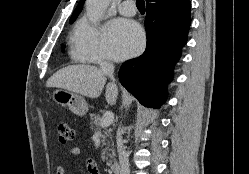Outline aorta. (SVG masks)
Masks as SVG:
<instances>
[{
  "label": "aorta",
  "instance_id": "1",
  "mask_svg": "<svg viewBox=\"0 0 249 174\" xmlns=\"http://www.w3.org/2000/svg\"><path fill=\"white\" fill-rule=\"evenodd\" d=\"M110 0H86V14L90 22L96 24L109 6Z\"/></svg>",
  "mask_w": 249,
  "mask_h": 174
}]
</instances>
